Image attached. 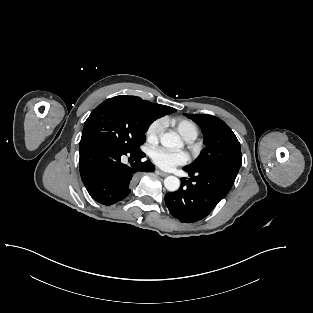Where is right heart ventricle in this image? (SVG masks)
<instances>
[{"instance_id":"e07e8e85","label":"right heart ventricle","mask_w":313,"mask_h":313,"mask_svg":"<svg viewBox=\"0 0 313 313\" xmlns=\"http://www.w3.org/2000/svg\"><path fill=\"white\" fill-rule=\"evenodd\" d=\"M177 132L188 142L195 140L199 135L198 125L189 119L185 118H173L168 121Z\"/></svg>"}]
</instances>
